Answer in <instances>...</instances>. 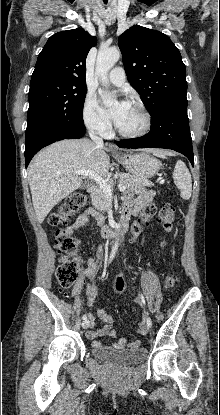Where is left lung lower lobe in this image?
<instances>
[{"label": "left lung lower lobe", "mask_w": 220, "mask_h": 415, "mask_svg": "<svg viewBox=\"0 0 220 415\" xmlns=\"http://www.w3.org/2000/svg\"><path fill=\"white\" fill-rule=\"evenodd\" d=\"M123 148H164L185 155L194 166L192 138L187 116V98H177L160 105L151 113V130L139 138L117 143Z\"/></svg>", "instance_id": "0a47b994"}]
</instances>
